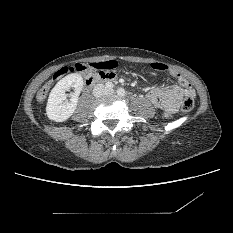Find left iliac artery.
<instances>
[{
    "label": "left iliac artery",
    "instance_id": "1",
    "mask_svg": "<svg viewBox=\"0 0 233 233\" xmlns=\"http://www.w3.org/2000/svg\"><path fill=\"white\" fill-rule=\"evenodd\" d=\"M117 94L119 95V96H125V90L123 89V88H119V89H117Z\"/></svg>",
    "mask_w": 233,
    "mask_h": 233
}]
</instances>
